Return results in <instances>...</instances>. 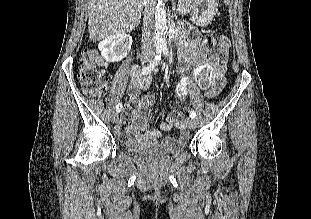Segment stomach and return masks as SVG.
I'll return each mask as SVG.
<instances>
[{
    "instance_id": "stomach-1",
    "label": "stomach",
    "mask_w": 311,
    "mask_h": 219,
    "mask_svg": "<svg viewBox=\"0 0 311 219\" xmlns=\"http://www.w3.org/2000/svg\"><path fill=\"white\" fill-rule=\"evenodd\" d=\"M191 21L201 27L209 25L215 15L217 0H192Z\"/></svg>"
}]
</instances>
